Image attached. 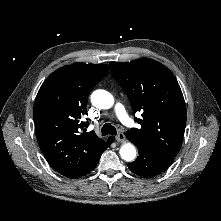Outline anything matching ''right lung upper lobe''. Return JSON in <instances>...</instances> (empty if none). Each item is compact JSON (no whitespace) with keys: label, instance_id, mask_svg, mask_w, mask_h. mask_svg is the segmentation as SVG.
I'll use <instances>...</instances> for the list:
<instances>
[{"label":"right lung upper lobe","instance_id":"obj_1","mask_svg":"<svg viewBox=\"0 0 221 221\" xmlns=\"http://www.w3.org/2000/svg\"><path fill=\"white\" fill-rule=\"evenodd\" d=\"M109 74L108 66L73 63L51 73L37 94L33 118L40 149L51 166L68 178H77L106 147L89 125L87 97Z\"/></svg>","mask_w":221,"mask_h":221}]
</instances>
